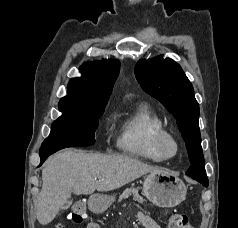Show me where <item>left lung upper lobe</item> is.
I'll list each match as a JSON object with an SVG mask.
<instances>
[{
    "label": "left lung upper lobe",
    "mask_w": 238,
    "mask_h": 228,
    "mask_svg": "<svg viewBox=\"0 0 238 228\" xmlns=\"http://www.w3.org/2000/svg\"><path fill=\"white\" fill-rule=\"evenodd\" d=\"M135 75L142 89L176 118L191 163L186 173L206 176L198 124L199 104L180 65L170 58L140 60Z\"/></svg>",
    "instance_id": "obj_1"
}]
</instances>
